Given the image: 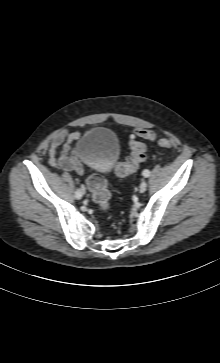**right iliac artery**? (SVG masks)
Masks as SVG:
<instances>
[{
	"label": "right iliac artery",
	"mask_w": 220,
	"mask_h": 363,
	"mask_svg": "<svg viewBox=\"0 0 220 363\" xmlns=\"http://www.w3.org/2000/svg\"><path fill=\"white\" fill-rule=\"evenodd\" d=\"M82 188V187H81ZM75 197L77 199H80L82 197L81 189H77L75 192Z\"/></svg>",
	"instance_id": "obj_1"
}]
</instances>
